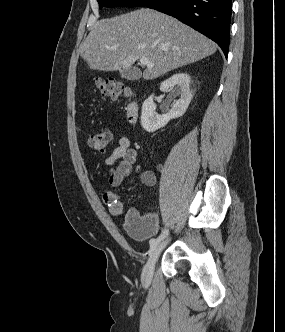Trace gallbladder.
<instances>
[{"label": "gallbladder", "instance_id": "gallbladder-1", "mask_svg": "<svg viewBox=\"0 0 285 332\" xmlns=\"http://www.w3.org/2000/svg\"><path fill=\"white\" fill-rule=\"evenodd\" d=\"M119 73L122 78L131 81L138 80L141 77V71L136 67L120 69Z\"/></svg>", "mask_w": 285, "mask_h": 332}]
</instances>
